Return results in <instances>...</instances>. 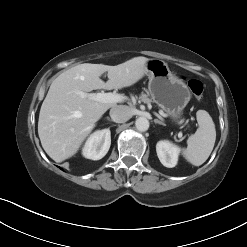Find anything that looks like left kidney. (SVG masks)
I'll return each mask as SVG.
<instances>
[{
    "mask_svg": "<svg viewBox=\"0 0 247 247\" xmlns=\"http://www.w3.org/2000/svg\"><path fill=\"white\" fill-rule=\"evenodd\" d=\"M156 152L160 162L168 168L175 167L178 162L180 148L169 141H159Z\"/></svg>",
    "mask_w": 247,
    "mask_h": 247,
    "instance_id": "obj_1",
    "label": "left kidney"
}]
</instances>
